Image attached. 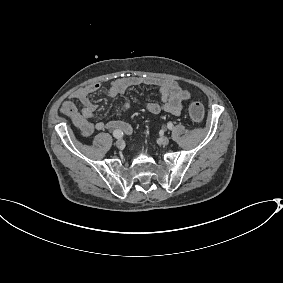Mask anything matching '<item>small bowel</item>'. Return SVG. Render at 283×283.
<instances>
[{
  "mask_svg": "<svg viewBox=\"0 0 283 283\" xmlns=\"http://www.w3.org/2000/svg\"><path fill=\"white\" fill-rule=\"evenodd\" d=\"M131 87H156L159 90L161 103L149 102L146 105V109L152 114L167 112L177 116L181 113L183 103L191 96L187 89L182 88L173 80L142 76L117 78L111 82L104 92L109 97H115L123 94ZM100 89L101 85L96 82L76 89L72 93V99L63 102L61 112L85 137L91 136L95 131L103 130H121L125 134H131L132 127L120 119L108 122L97 121L95 123L90 121L95 116L97 110V104L90 99V95ZM74 100L79 101L82 107L78 108ZM129 108V100H124L121 113L126 112Z\"/></svg>",
  "mask_w": 283,
  "mask_h": 283,
  "instance_id": "small-bowel-1",
  "label": "small bowel"
}]
</instances>
